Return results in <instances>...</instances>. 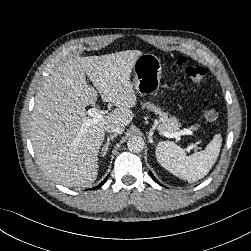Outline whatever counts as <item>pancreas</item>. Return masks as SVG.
I'll return each instance as SVG.
<instances>
[{
	"instance_id": "cf45deb5",
	"label": "pancreas",
	"mask_w": 251,
	"mask_h": 251,
	"mask_svg": "<svg viewBox=\"0 0 251 251\" xmlns=\"http://www.w3.org/2000/svg\"><path fill=\"white\" fill-rule=\"evenodd\" d=\"M147 107V109L154 111L156 114L159 115L161 124L158 127V130L160 132H176L180 128V123L175 117H168L166 113L161 111L160 107L155 106L154 104L147 102L144 104V107Z\"/></svg>"
}]
</instances>
